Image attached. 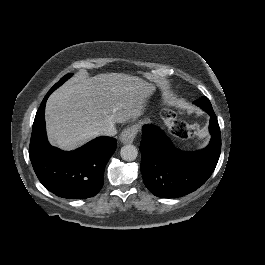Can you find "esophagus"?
<instances>
[{"instance_id":"esophagus-1","label":"esophagus","mask_w":265,"mask_h":265,"mask_svg":"<svg viewBox=\"0 0 265 265\" xmlns=\"http://www.w3.org/2000/svg\"><path fill=\"white\" fill-rule=\"evenodd\" d=\"M138 132L136 125L131 126L130 128L125 129L120 135V141L122 143H132L135 139Z\"/></svg>"}]
</instances>
